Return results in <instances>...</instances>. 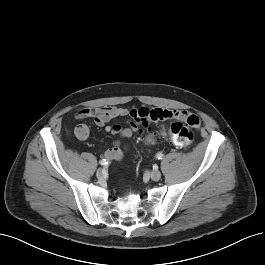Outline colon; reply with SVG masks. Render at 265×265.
Segmentation results:
<instances>
[{
  "mask_svg": "<svg viewBox=\"0 0 265 265\" xmlns=\"http://www.w3.org/2000/svg\"><path fill=\"white\" fill-rule=\"evenodd\" d=\"M165 118V112L160 109L149 110L148 120L156 122ZM200 121L196 117H190L188 123L174 122L169 128V138L171 142L178 147H189L195 138L194 128ZM160 136L157 134H146L142 136V140L145 142H153L159 139Z\"/></svg>",
  "mask_w": 265,
  "mask_h": 265,
  "instance_id": "1",
  "label": "colon"
}]
</instances>
